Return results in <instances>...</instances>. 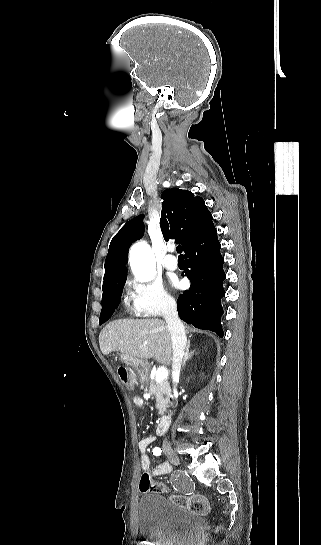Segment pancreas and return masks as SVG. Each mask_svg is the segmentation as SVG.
<instances>
[{
    "instance_id": "1",
    "label": "pancreas",
    "mask_w": 321,
    "mask_h": 545,
    "mask_svg": "<svg viewBox=\"0 0 321 545\" xmlns=\"http://www.w3.org/2000/svg\"><path fill=\"white\" fill-rule=\"evenodd\" d=\"M150 371L148 369L145 373V381L149 383V391L151 395H155L156 399V409H158L159 415H163L166 411V405H168L169 395L171 393L170 385L168 379H164L161 383H155L150 379Z\"/></svg>"
}]
</instances>
